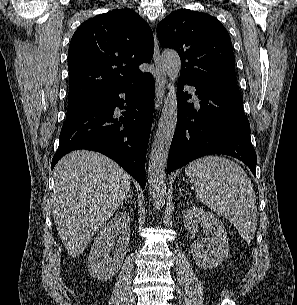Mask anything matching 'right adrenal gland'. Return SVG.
<instances>
[{
  "label": "right adrenal gland",
  "instance_id": "2a0ac1e0",
  "mask_svg": "<svg viewBox=\"0 0 297 305\" xmlns=\"http://www.w3.org/2000/svg\"><path fill=\"white\" fill-rule=\"evenodd\" d=\"M128 198L133 199V196L131 194V190H129L128 195L125 198V201H127Z\"/></svg>",
  "mask_w": 297,
  "mask_h": 305
}]
</instances>
